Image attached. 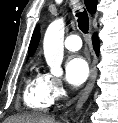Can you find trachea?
<instances>
[{
	"instance_id": "obj_1",
	"label": "trachea",
	"mask_w": 118,
	"mask_h": 123,
	"mask_svg": "<svg viewBox=\"0 0 118 123\" xmlns=\"http://www.w3.org/2000/svg\"><path fill=\"white\" fill-rule=\"evenodd\" d=\"M76 17L78 18V27L83 33H87L89 29V18L86 10L76 12Z\"/></svg>"
}]
</instances>
